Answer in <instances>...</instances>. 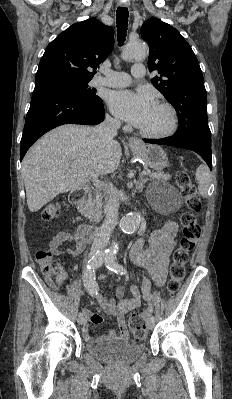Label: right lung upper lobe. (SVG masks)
<instances>
[{
	"label": "right lung upper lobe",
	"instance_id": "cb5924a9",
	"mask_svg": "<svg viewBox=\"0 0 232 399\" xmlns=\"http://www.w3.org/2000/svg\"><path fill=\"white\" fill-rule=\"evenodd\" d=\"M114 47V31L95 17L71 25L46 48L35 82L57 78L91 80Z\"/></svg>",
	"mask_w": 232,
	"mask_h": 399
}]
</instances>
